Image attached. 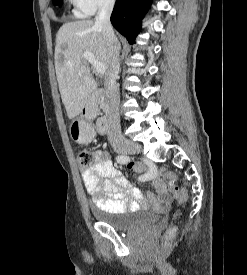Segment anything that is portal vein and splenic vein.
Returning a JSON list of instances; mask_svg holds the SVG:
<instances>
[{
  "label": "portal vein and splenic vein",
  "instance_id": "obj_1",
  "mask_svg": "<svg viewBox=\"0 0 247 275\" xmlns=\"http://www.w3.org/2000/svg\"><path fill=\"white\" fill-rule=\"evenodd\" d=\"M83 57L94 67L98 75H103L106 72V66L103 63L97 61L91 52H84Z\"/></svg>",
  "mask_w": 247,
  "mask_h": 275
}]
</instances>
